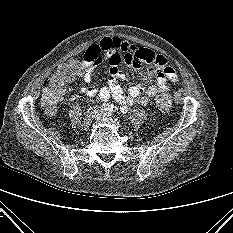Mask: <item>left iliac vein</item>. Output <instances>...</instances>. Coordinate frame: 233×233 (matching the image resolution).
Returning <instances> with one entry per match:
<instances>
[{"label":"left iliac vein","mask_w":233,"mask_h":233,"mask_svg":"<svg viewBox=\"0 0 233 233\" xmlns=\"http://www.w3.org/2000/svg\"><path fill=\"white\" fill-rule=\"evenodd\" d=\"M95 120H97L98 122H102V123H109V121L107 119L102 117L101 113L97 114V116L95 117Z\"/></svg>","instance_id":"left-iliac-vein-1"}]
</instances>
